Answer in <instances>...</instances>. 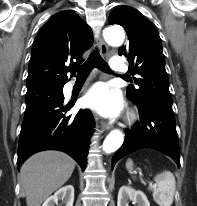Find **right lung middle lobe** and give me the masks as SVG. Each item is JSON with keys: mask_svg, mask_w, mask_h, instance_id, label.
<instances>
[{"mask_svg": "<svg viewBox=\"0 0 197 206\" xmlns=\"http://www.w3.org/2000/svg\"><path fill=\"white\" fill-rule=\"evenodd\" d=\"M63 93V88L28 89L26 93V110L39 106L47 101L57 99Z\"/></svg>", "mask_w": 197, "mask_h": 206, "instance_id": "obj_1", "label": "right lung middle lobe"}]
</instances>
